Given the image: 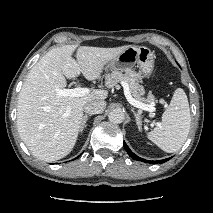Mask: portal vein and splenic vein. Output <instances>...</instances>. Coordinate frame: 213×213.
Here are the masks:
<instances>
[{"instance_id": "1", "label": "portal vein and splenic vein", "mask_w": 213, "mask_h": 213, "mask_svg": "<svg viewBox=\"0 0 213 213\" xmlns=\"http://www.w3.org/2000/svg\"><path fill=\"white\" fill-rule=\"evenodd\" d=\"M122 85L124 87L125 96L131 105L145 111H150V112L155 111L154 104H144L142 102L135 100L131 96L128 84L126 82H122ZM89 92L90 90L88 88H82V87H77L73 89H56V93L58 96L68 97V99H71L73 97H83L87 95Z\"/></svg>"}]
</instances>
